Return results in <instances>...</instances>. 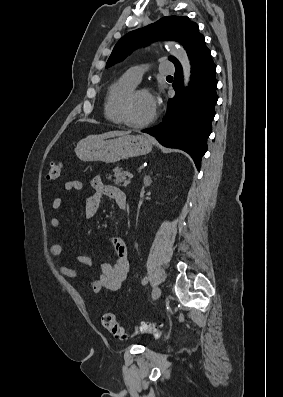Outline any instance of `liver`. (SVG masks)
Masks as SVG:
<instances>
[{"instance_id": "obj_1", "label": "liver", "mask_w": 283, "mask_h": 397, "mask_svg": "<svg viewBox=\"0 0 283 397\" xmlns=\"http://www.w3.org/2000/svg\"><path fill=\"white\" fill-rule=\"evenodd\" d=\"M129 133H130V131H110V132H106V133L100 134V135H91V136H88L87 138L103 140V139H107V138H111V137L128 135Z\"/></svg>"}]
</instances>
